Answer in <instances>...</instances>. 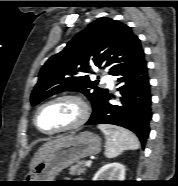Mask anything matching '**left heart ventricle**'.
Instances as JSON below:
<instances>
[{"label":"left heart ventricle","mask_w":178,"mask_h":186,"mask_svg":"<svg viewBox=\"0 0 178 186\" xmlns=\"http://www.w3.org/2000/svg\"><path fill=\"white\" fill-rule=\"evenodd\" d=\"M80 114L79 106L71 100H60L43 107L38 124L44 131H54L73 123Z\"/></svg>","instance_id":"1"}]
</instances>
